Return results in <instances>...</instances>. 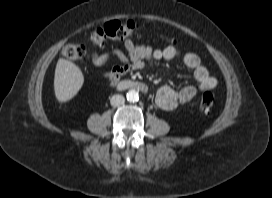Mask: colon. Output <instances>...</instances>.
<instances>
[{
  "label": "colon",
  "instance_id": "colon-1",
  "mask_svg": "<svg viewBox=\"0 0 272 198\" xmlns=\"http://www.w3.org/2000/svg\"><path fill=\"white\" fill-rule=\"evenodd\" d=\"M141 35L139 25L131 20L118 21L112 20L104 25L97 27L91 32V41L95 44L104 43L107 40L124 39L130 36ZM175 43V41H172ZM62 55L69 60H84L88 55V49L81 44H67L62 49ZM214 104V96L210 92H205L200 100V109L208 112Z\"/></svg>",
  "mask_w": 272,
  "mask_h": 198
}]
</instances>
